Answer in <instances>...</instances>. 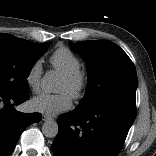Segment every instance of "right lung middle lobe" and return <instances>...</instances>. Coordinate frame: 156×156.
Here are the masks:
<instances>
[{"mask_svg":"<svg viewBox=\"0 0 156 156\" xmlns=\"http://www.w3.org/2000/svg\"><path fill=\"white\" fill-rule=\"evenodd\" d=\"M49 43L36 44L8 34H0V91L29 93L27 77Z\"/></svg>","mask_w":156,"mask_h":156,"instance_id":"dd1d6c3e","label":"right lung middle lobe"}]
</instances>
